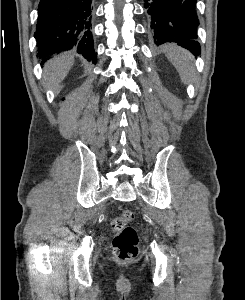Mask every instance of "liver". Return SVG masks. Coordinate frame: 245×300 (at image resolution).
<instances>
[{
	"mask_svg": "<svg viewBox=\"0 0 245 300\" xmlns=\"http://www.w3.org/2000/svg\"><path fill=\"white\" fill-rule=\"evenodd\" d=\"M74 63L73 56L61 55L47 62L43 81L46 87L56 88L64 80Z\"/></svg>",
	"mask_w": 245,
	"mask_h": 300,
	"instance_id": "1",
	"label": "liver"
}]
</instances>
